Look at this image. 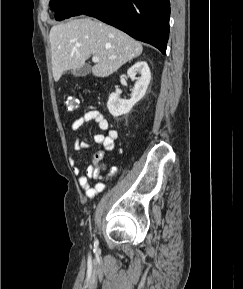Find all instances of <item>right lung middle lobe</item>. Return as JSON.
Returning <instances> with one entry per match:
<instances>
[{
	"label": "right lung middle lobe",
	"instance_id": "right-lung-middle-lobe-1",
	"mask_svg": "<svg viewBox=\"0 0 243 289\" xmlns=\"http://www.w3.org/2000/svg\"><path fill=\"white\" fill-rule=\"evenodd\" d=\"M87 0H50V7L55 11L56 20H63L72 14Z\"/></svg>",
	"mask_w": 243,
	"mask_h": 289
}]
</instances>
